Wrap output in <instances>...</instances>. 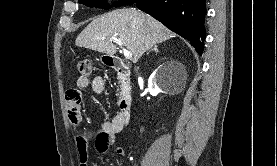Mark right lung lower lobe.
Masks as SVG:
<instances>
[{
	"instance_id": "right-lung-lower-lobe-1",
	"label": "right lung lower lobe",
	"mask_w": 277,
	"mask_h": 166,
	"mask_svg": "<svg viewBox=\"0 0 277 166\" xmlns=\"http://www.w3.org/2000/svg\"><path fill=\"white\" fill-rule=\"evenodd\" d=\"M133 3L187 39L195 50L202 54L205 39V0H126L123 4Z\"/></svg>"
}]
</instances>
